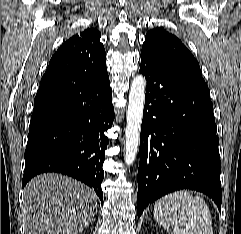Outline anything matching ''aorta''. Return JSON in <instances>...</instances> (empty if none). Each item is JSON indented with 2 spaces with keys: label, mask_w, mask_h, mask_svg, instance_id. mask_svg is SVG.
<instances>
[{
  "label": "aorta",
  "mask_w": 241,
  "mask_h": 234,
  "mask_svg": "<svg viewBox=\"0 0 241 234\" xmlns=\"http://www.w3.org/2000/svg\"><path fill=\"white\" fill-rule=\"evenodd\" d=\"M146 81L143 75L133 78L129 91L127 123L125 129V154L124 161L127 166L133 164L140 141L143 108L145 102Z\"/></svg>",
  "instance_id": "1"
}]
</instances>
